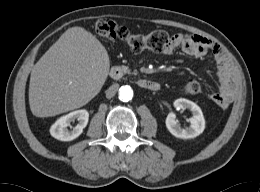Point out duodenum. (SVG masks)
<instances>
[{"instance_id":"obj_1","label":"duodenum","mask_w":260,"mask_h":192,"mask_svg":"<svg viewBox=\"0 0 260 192\" xmlns=\"http://www.w3.org/2000/svg\"><path fill=\"white\" fill-rule=\"evenodd\" d=\"M109 74L113 80H119L123 77V71L119 67H113ZM136 83L140 88L145 90L158 91L160 89V84L158 82L149 79L141 78L138 79Z\"/></svg>"}]
</instances>
